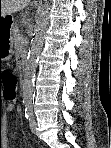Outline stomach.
Listing matches in <instances>:
<instances>
[{
	"mask_svg": "<svg viewBox=\"0 0 111 148\" xmlns=\"http://www.w3.org/2000/svg\"><path fill=\"white\" fill-rule=\"evenodd\" d=\"M15 26L13 15L0 16V61L11 58L13 48L12 30Z\"/></svg>",
	"mask_w": 111,
	"mask_h": 148,
	"instance_id": "1",
	"label": "stomach"
}]
</instances>
